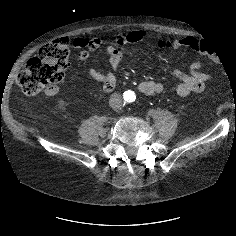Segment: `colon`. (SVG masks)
Segmentation results:
<instances>
[{"mask_svg":"<svg viewBox=\"0 0 236 236\" xmlns=\"http://www.w3.org/2000/svg\"><path fill=\"white\" fill-rule=\"evenodd\" d=\"M170 45L161 42L160 45ZM191 48L199 51L202 58L223 62L224 56L220 47L193 43ZM70 48L66 41L55 40L44 45L37 57L30 59L27 66L17 77V85L27 96H33L44 88L62 81L68 65Z\"/></svg>","mask_w":236,"mask_h":236,"instance_id":"obj_1","label":"colon"}]
</instances>
